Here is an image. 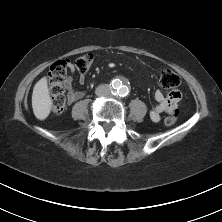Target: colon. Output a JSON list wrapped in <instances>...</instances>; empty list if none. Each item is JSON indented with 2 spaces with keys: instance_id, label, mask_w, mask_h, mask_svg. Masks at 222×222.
Instances as JSON below:
<instances>
[{
  "instance_id": "5ec220e1",
  "label": "colon",
  "mask_w": 222,
  "mask_h": 222,
  "mask_svg": "<svg viewBox=\"0 0 222 222\" xmlns=\"http://www.w3.org/2000/svg\"><path fill=\"white\" fill-rule=\"evenodd\" d=\"M94 55L85 53L77 58L75 66L81 74H85L92 67ZM70 63L67 60H58L54 62L49 69V86L52 95V112L56 115L61 114L67 102L65 80ZM160 85L167 90L177 89L181 83L180 76L171 69H163L159 76ZM179 110L172 109L164 120L165 126L174 125L179 118Z\"/></svg>"
}]
</instances>
